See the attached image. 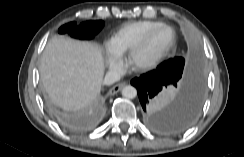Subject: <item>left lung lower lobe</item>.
<instances>
[{"instance_id": "0a47b994", "label": "left lung lower lobe", "mask_w": 244, "mask_h": 157, "mask_svg": "<svg viewBox=\"0 0 244 157\" xmlns=\"http://www.w3.org/2000/svg\"><path fill=\"white\" fill-rule=\"evenodd\" d=\"M131 84L137 88L145 121L162 133H177L189 128L199 115L204 98V78L198 66L185 63L168 70L156 68ZM179 88L170 99L169 93Z\"/></svg>"}]
</instances>
